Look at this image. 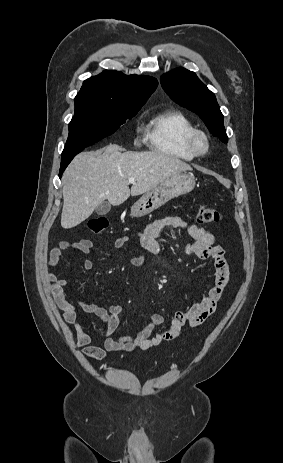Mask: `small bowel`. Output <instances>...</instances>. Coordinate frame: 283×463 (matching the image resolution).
I'll return each instance as SVG.
<instances>
[{"label":"small bowel","instance_id":"small-bowel-1","mask_svg":"<svg viewBox=\"0 0 283 463\" xmlns=\"http://www.w3.org/2000/svg\"><path fill=\"white\" fill-rule=\"evenodd\" d=\"M165 228L183 229L191 238L192 243L185 246V252L203 260H212L215 269V282L208 294L201 301L193 303L188 309L175 314L170 326L161 332L156 330L163 324L164 319L154 314L150 321L144 324L134 335L113 336L119 326L122 307L112 304L104 307L90 303L78 297L69 286L66 278L58 277L53 271L48 273L49 292L57 307L63 311V319L73 325L76 331L77 346L82 349L86 358L104 360L110 352H131L135 349L148 350L163 341L175 339L185 326H198L207 320L215 311L216 306L229 282L230 270L224 249L215 243L214 236L204 228L189 224L179 216H167L154 220L139 231L135 236L142 247L157 255L160 253L158 237ZM130 240L127 235L119 236L114 241L117 249L124 247ZM94 243L89 239L79 241H58L49 251V266L55 268L61 260L62 252L69 249L78 250L84 254L90 253ZM129 261L135 266H144L145 260L140 256H130ZM83 269L89 271L94 264L90 259L82 263ZM67 289L73 301L67 298ZM92 314L100 318L107 325V337L102 346L91 345V337L80 323V314Z\"/></svg>","mask_w":283,"mask_h":463}]
</instances>
